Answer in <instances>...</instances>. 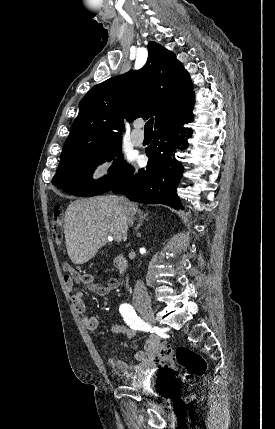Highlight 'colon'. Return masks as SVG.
Here are the masks:
<instances>
[{
  "label": "colon",
  "instance_id": "5ec220e1",
  "mask_svg": "<svg viewBox=\"0 0 275 429\" xmlns=\"http://www.w3.org/2000/svg\"><path fill=\"white\" fill-rule=\"evenodd\" d=\"M51 235L56 244L60 245L62 243L63 225L59 206H56L54 209ZM65 270V275H68L70 268L65 267ZM159 363L162 368L168 369L172 374L180 376L185 380H190L193 376H202L208 369L206 360L196 351L186 346H179L173 349L167 343L161 345Z\"/></svg>",
  "mask_w": 275,
  "mask_h": 429
}]
</instances>
